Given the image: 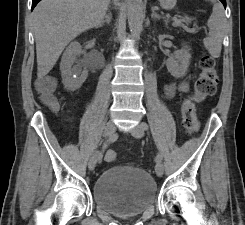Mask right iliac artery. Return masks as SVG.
I'll return each instance as SVG.
<instances>
[{
	"label": "right iliac artery",
	"instance_id": "82829eb1",
	"mask_svg": "<svg viewBox=\"0 0 245 225\" xmlns=\"http://www.w3.org/2000/svg\"><path fill=\"white\" fill-rule=\"evenodd\" d=\"M117 140V135L114 134L113 136H111L109 139H107L104 144H103V149L107 147L108 144L113 143ZM103 157V152H99V156H98V161H101Z\"/></svg>",
	"mask_w": 245,
	"mask_h": 225
}]
</instances>
